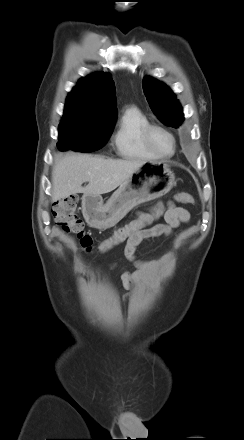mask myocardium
<instances>
[{"label": "myocardium", "instance_id": "f54148a6", "mask_svg": "<svg viewBox=\"0 0 244 440\" xmlns=\"http://www.w3.org/2000/svg\"><path fill=\"white\" fill-rule=\"evenodd\" d=\"M161 131L165 134H167L173 143V150L170 154L168 155H164L159 153L157 150L154 149V147L151 144V135L154 131ZM141 138H142V142L145 145V147L152 153L154 154L156 157H164V156H171L174 154L175 150H176V139L174 137V135L166 128L160 126V125H154V124H149L148 126H146L141 133Z\"/></svg>", "mask_w": 244, "mask_h": 440}]
</instances>
